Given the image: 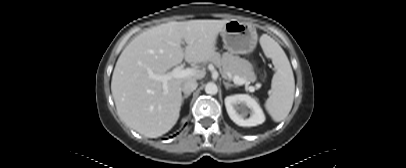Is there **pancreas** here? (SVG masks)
Wrapping results in <instances>:
<instances>
[{
	"instance_id": "obj_1",
	"label": "pancreas",
	"mask_w": 406,
	"mask_h": 168,
	"mask_svg": "<svg viewBox=\"0 0 406 168\" xmlns=\"http://www.w3.org/2000/svg\"><path fill=\"white\" fill-rule=\"evenodd\" d=\"M210 61L219 68L220 73L224 77L233 79L234 76H239L246 82H254L256 80L252 65L248 61L231 53L225 52L222 56L216 53Z\"/></svg>"
}]
</instances>
